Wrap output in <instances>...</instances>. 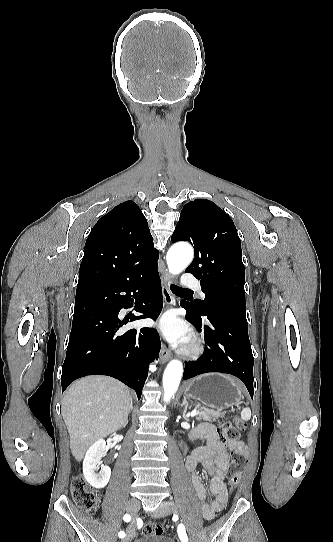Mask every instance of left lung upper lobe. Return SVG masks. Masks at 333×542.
Returning a JSON list of instances; mask_svg holds the SVG:
<instances>
[{"label":"left lung upper lobe","instance_id":"1","mask_svg":"<svg viewBox=\"0 0 333 542\" xmlns=\"http://www.w3.org/2000/svg\"><path fill=\"white\" fill-rule=\"evenodd\" d=\"M171 240L194 245L195 256L185 272L201 280L206 295L204 300L189 302L197 321L206 323L223 306L246 310L241 241L225 211L206 199L187 203Z\"/></svg>","mask_w":333,"mask_h":542}]
</instances>
